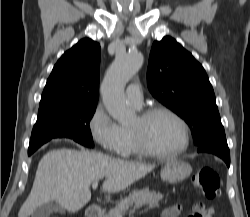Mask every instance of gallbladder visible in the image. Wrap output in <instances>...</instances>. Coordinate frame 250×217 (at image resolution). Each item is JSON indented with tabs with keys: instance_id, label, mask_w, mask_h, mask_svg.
Returning <instances> with one entry per match:
<instances>
[{
	"instance_id": "1",
	"label": "gallbladder",
	"mask_w": 250,
	"mask_h": 217,
	"mask_svg": "<svg viewBox=\"0 0 250 217\" xmlns=\"http://www.w3.org/2000/svg\"><path fill=\"white\" fill-rule=\"evenodd\" d=\"M53 212L65 213V210L57 203L51 201L39 206L33 213L32 217H49Z\"/></svg>"
}]
</instances>
